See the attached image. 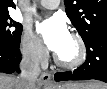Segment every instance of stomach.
<instances>
[{
  "mask_svg": "<svg viewBox=\"0 0 107 89\" xmlns=\"http://www.w3.org/2000/svg\"><path fill=\"white\" fill-rule=\"evenodd\" d=\"M54 89H80L78 85H74L73 83L58 85Z\"/></svg>",
  "mask_w": 107,
  "mask_h": 89,
  "instance_id": "stomach-1",
  "label": "stomach"
}]
</instances>
